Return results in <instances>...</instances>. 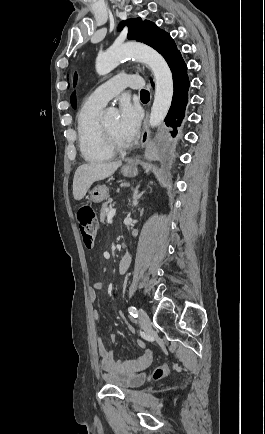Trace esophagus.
Listing matches in <instances>:
<instances>
[{"mask_svg":"<svg viewBox=\"0 0 265 434\" xmlns=\"http://www.w3.org/2000/svg\"><path fill=\"white\" fill-rule=\"evenodd\" d=\"M149 139H150V127H149V114L147 112L143 122V131L141 135L140 146L144 147L148 143Z\"/></svg>","mask_w":265,"mask_h":434,"instance_id":"1","label":"esophagus"}]
</instances>
